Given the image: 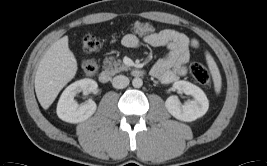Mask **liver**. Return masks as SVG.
<instances>
[{"label": "liver", "instance_id": "1", "mask_svg": "<svg viewBox=\"0 0 267 166\" xmlns=\"http://www.w3.org/2000/svg\"><path fill=\"white\" fill-rule=\"evenodd\" d=\"M77 61L69 49L68 37L57 40L44 54L35 75V92L40 105L48 109L63 87L76 75Z\"/></svg>", "mask_w": 267, "mask_h": 166}]
</instances>
